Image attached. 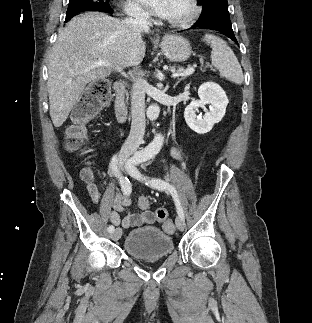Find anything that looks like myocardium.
I'll use <instances>...</instances> for the list:
<instances>
[{
  "label": "myocardium",
  "instance_id": "obj_1",
  "mask_svg": "<svg viewBox=\"0 0 312 323\" xmlns=\"http://www.w3.org/2000/svg\"><path fill=\"white\" fill-rule=\"evenodd\" d=\"M199 0H185L186 7L184 14H178L176 18H170V25H190L191 21H200L201 13L204 11V3H198Z\"/></svg>",
  "mask_w": 312,
  "mask_h": 323
}]
</instances>
